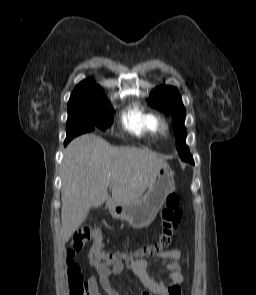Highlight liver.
Returning <instances> with one entry per match:
<instances>
[{
  "label": "liver",
  "mask_w": 256,
  "mask_h": 295,
  "mask_svg": "<svg viewBox=\"0 0 256 295\" xmlns=\"http://www.w3.org/2000/svg\"><path fill=\"white\" fill-rule=\"evenodd\" d=\"M164 165L155 152L114 147L94 134L72 140L61 165L62 243L71 238L92 207L108 200L124 205L140 198Z\"/></svg>",
  "instance_id": "obj_1"
}]
</instances>
